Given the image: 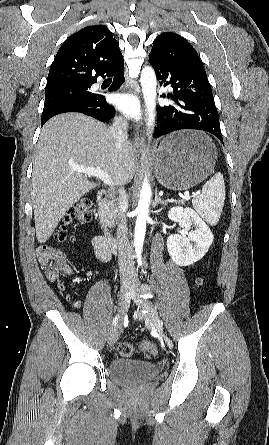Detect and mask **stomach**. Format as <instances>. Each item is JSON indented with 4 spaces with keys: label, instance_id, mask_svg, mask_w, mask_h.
I'll use <instances>...</instances> for the list:
<instances>
[{
    "label": "stomach",
    "instance_id": "obj_1",
    "mask_svg": "<svg viewBox=\"0 0 269 445\" xmlns=\"http://www.w3.org/2000/svg\"><path fill=\"white\" fill-rule=\"evenodd\" d=\"M217 159L213 142L199 131H178L160 143L155 159V175L164 187L183 191L209 176Z\"/></svg>",
    "mask_w": 269,
    "mask_h": 445
}]
</instances>
